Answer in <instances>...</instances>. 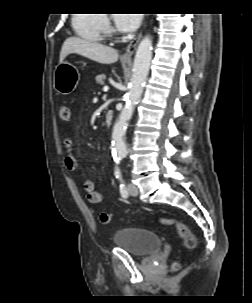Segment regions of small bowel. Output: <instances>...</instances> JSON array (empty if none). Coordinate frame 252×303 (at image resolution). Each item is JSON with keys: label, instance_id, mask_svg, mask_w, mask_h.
<instances>
[{"label": "small bowel", "instance_id": "obj_1", "mask_svg": "<svg viewBox=\"0 0 252 303\" xmlns=\"http://www.w3.org/2000/svg\"><path fill=\"white\" fill-rule=\"evenodd\" d=\"M67 152L64 156V164L68 171L74 172L77 170V159L75 154L72 152V142L69 138L64 139L63 142ZM84 190L87 194L88 202L91 204H99L103 200V194L95 190L94 183L91 180H85L83 182Z\"/></svg>", "mask_w": 252, "mask_h": 303}]
</instances>
